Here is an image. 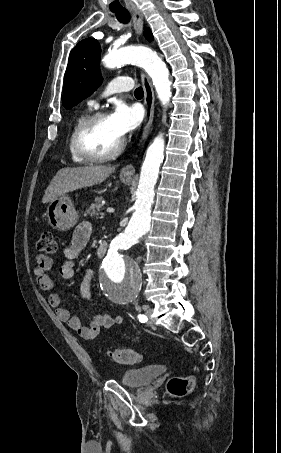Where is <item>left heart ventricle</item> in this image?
I'll return each mask as SVG.
<instances>
[{
	"instance_id": "left-heart-ventricle-1",
	"label": "left heart ventricle",
	"mask_w": 281,
	"mask_h": 453,
	"mask_svg": "<svg viewBox=\"0 0 281 453\" xmlns=\"http://www.w3.org/2000/svg\"><path fill=\"white\" fill-rule=\"evenodd\" d=\"M122 139L109 118L99 122L90 132L87 147L94 154H103L112 151Z\"/></svg>"
}]
</instances>
